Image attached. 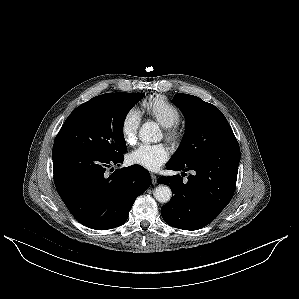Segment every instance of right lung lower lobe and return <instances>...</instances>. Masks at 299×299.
Instances as JSON below:
<instances>
[{"label": "right lung lower lobe", "mask_w": 299, "mask_h": 299, "mask_svg": "<svg viewBox=\"0 0 299 299\" xmlns=\"http://www.w3.org/2000/svg\"><path fill=\"white\" fill-rule=\"evenodd\" d=\"M54 183L68 210L81 224L96 230L122 225L135 199L151 184L148 171L140 165L118 169L123 154L106 157L71 146L52 151Z\"/></svg>", "instance_id": "right-lung-lower-lobe-1"}]
</instances>
